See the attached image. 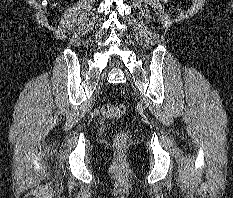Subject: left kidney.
<instances>
[{
  "label": "left kidney",
  "mask_w": 233,
  "mask_h": 198,
  "mask_svg": "<svg viewBox=\"0 0 233 198\" xmlns=\"http://www.w3.org/2000/svg\"><path fill=\"white\" fill-rule=\"evenodd\" d=\"M165 3L168 1V0H163Z\"/></svg>",
  "instance_id": "5707ae66"
}]
</instances>
